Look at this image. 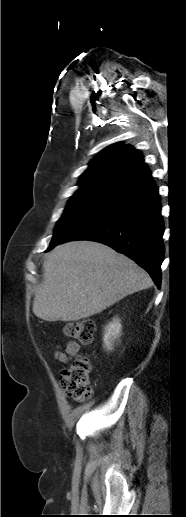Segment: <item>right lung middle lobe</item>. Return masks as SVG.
<instances>
[{
    "mask_svg": "<svg viewBox=\"0 0 186 517\" xmlns=\"http://www.w3.org/2000/svg\"><path fill=\"white\" fill-rule=\"evenodd\" d=\"M116 202L111 199L72 197L56 224L49 248L58 245L79 227L103 213Z\"/></svg>",
    "mask_w": 186,
    "mask_h": 517,
    "instance_id": "right-lung-middle-lobe-1",
    "label": "right lung middle lobe"
}]
</instances>
